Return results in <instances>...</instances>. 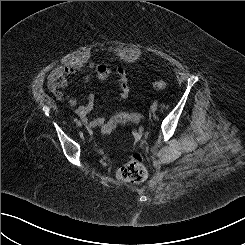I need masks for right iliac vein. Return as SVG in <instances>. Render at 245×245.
I'll list each match as a JSON object with an SVG mask.
<instances>
[{
  "instance_id": "63e3f726",
  "label": "right iliac vein",
  "mask_w": 245,
  "mask_h": 245,
  "mask_svg": "<svg viewBox=\"0 0 245 245\" xmlns=\"http://www.w3.org/2000/svg\"><path fill=\"white\" fill-rule=\"evenodd\" d=\"M77 125H78V126H82V122L79 121V122L77 123Z\"/></svg>"
}]
</instances>
